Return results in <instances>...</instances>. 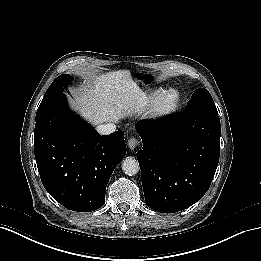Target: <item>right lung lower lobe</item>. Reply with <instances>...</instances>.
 Here are the masks:
<instances>
[{
    "label": "right lung lower lobe",
    "mask_w": 261,
    "mask_h": 261,
    "mask_svg": "<svg viewBox=\"0 0 261 261\" xmlns=\"http://www.w3.org/2000/svg\"><path fill=\"white\" fill-rule=\"evenodd\" d=\"M34 149L47 192L79 212L105 204L109 178L126 154L123 131L99 135L69 110L64 93L36 114Z\"/></svg>",
    "instance_id": "1"
}]
</instances>
